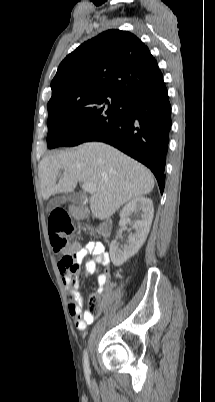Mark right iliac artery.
Returning a JSON list of instances; mask_svg holds the SVG:
<instances>
[{"mask_svg": "<svg viewBox=\"0 0 215 402\" xmlns=\"http://www.w3.org/2000/svg\"><path fill=\"white\" fill-rule=\"evenodd\" d=\"M83 367H84V372L87 376L90 375V367H89V358H88V353L85 350L84 351V356H83Z\"/></svg>", "mask_w": 215, "mask_h": 402, "instance_id": "82829eb1", "label": "right iliac artery"}]
</instances>
